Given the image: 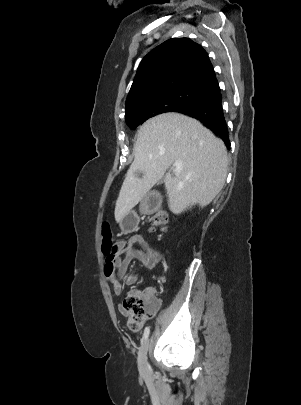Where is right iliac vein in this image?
<instances>
[{
  "instance_id": "63e3f726",
  "label": "right iliac vein",
  "mask_w": 301,
  "mask_h": 405,
  "mask_svg": "<svg viewBox=\"0 0 301 405\" xmlns=\"http://www.w3.org/2000/svg\"><path fill=\"white\" fill-rule=\"evenodd\" d=\"M148 348H149V340L146 339L138 352V368L142 375H146L148 373V359H147Z\"/></svg>"
}]
</instances>
